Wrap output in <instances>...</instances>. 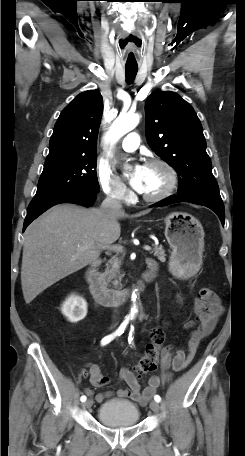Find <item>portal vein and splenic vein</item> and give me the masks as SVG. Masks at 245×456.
<instances>
[{
  "label": "portal vein and splenic vein",
  "instance_id": "18ae733b",
  "mask_svg": "<svg viewBox=\"0 0 245 456\" xmlns=\"http://www.w3.org/2000/svg\"><path fill=\"white\" fill-rule=\"evenodd\" d=\"M107 248H108V249H114V250H116V251H122V249H123L122 246H108ZM143 248H144V250H146V251H150V250H151V247L148 246V245H145Z\"/></svg>",
  "mask_w": 245,
  "mask_h": 456
}]
</instances>
